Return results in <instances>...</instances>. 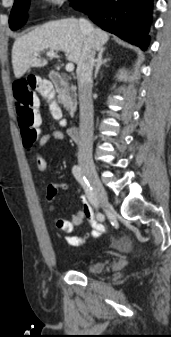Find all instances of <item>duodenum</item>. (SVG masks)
<instances>
[{
	"label": "duodenum",
	"instance_id": "410a0bca",
	"mask_svg": "<svg viewBox=\"0 0 171 337\" xmlns=\"http://www.w3.org/2000/svg\"><path fill=\"white\" fill-rule=\"evenodd\" d=\"M49 78L54 87L56 88V90L62 91L66 89L68 86L69 83L68 77L58 72H50ZM68 134L74 141L81 140L80 130L77 125H70L68 127Z\"/></svg>",
	"mask_w": 171,
	"mask_h": 337
}]
</instances>
